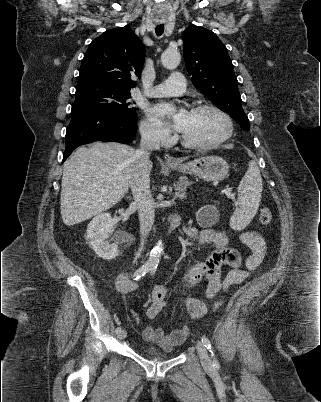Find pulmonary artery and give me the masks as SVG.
Segmentation results:
<instances>
[{
    "label": "pulmonary artery",
    "mask_w": 321,
    "mask_h": 402,
    "mask_svg": "<svg viewBox=\"0 0 321 402\" xmlns=\"http://www.w3.org/2000/svg\"><path fill=\"white\" fill-rule=\"evenodd\" d=\"M186 84L181 73H173L166 81L148 89L145 94L148 97L176 96L183 93Z\"/></svg>",
    "instance_id": "obj_1"
}]
</instances>
